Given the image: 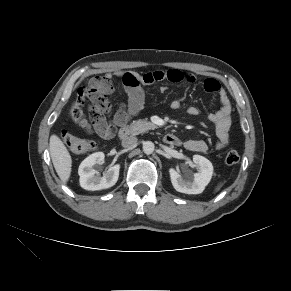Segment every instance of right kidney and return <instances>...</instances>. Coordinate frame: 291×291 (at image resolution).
I'll return each mask as SVG.
<instances>
[{"label": "right kidney", "mask_w": 291, "mask_h": 291, "mask_svg": "<svg viewBox=\"0 0 291 291\" xmlns=\"http://www.w3.org/2000/svg\"><path fill=\"white\" fill-rule=\"evenodd\" d=\"M104 160L103 152H96L85 158L78 169L80 186L86 190H101L112 187L119 177L120 165L110 167L103 176L95 170V166Z\"/></svg>", "instance_id": "1"}]
</instances>
